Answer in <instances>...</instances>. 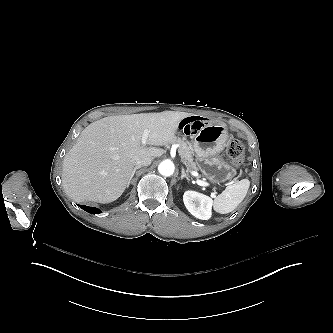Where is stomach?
<instances>
[{
	"instance_id": "stomach-1",
	"label": "stomach",
	"mask_w": 333,
	"mask_h": 333,
	"mask_svg": "<svg viewBox=\"0 0 333 333\" xmlns=\"http://www.w3.org/2000/svg\"><path fill=\"white\" fill-rule=\"evenodd\" d=\"M227 140L226 131L217 124H204L192 136L196 165L210 186H218L237 177V169L221 155Z\"/></svg>"
}]
</instances>
